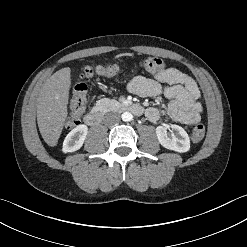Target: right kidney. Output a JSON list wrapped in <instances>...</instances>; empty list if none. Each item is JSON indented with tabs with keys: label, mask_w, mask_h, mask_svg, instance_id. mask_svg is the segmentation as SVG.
Masks as SVG:
<instances>
[{
	"label": "right kidney",
	"mask_w": 247,
	"mask_h": 247,
	"mask_svg": "<svg viewBox=\"0 0 247 247\" xmlns=\"http://www.w3.org/2000/svg\"><path fill=\"white\" fill-rule=\"evenodd\" d=\"M87 133L88 127L83 124L71 130L63 142L62 151L67 153L79 150L86 139Z\"/></svg>",
	"instance_id": "obj_1"
}]
</instances>
